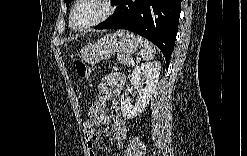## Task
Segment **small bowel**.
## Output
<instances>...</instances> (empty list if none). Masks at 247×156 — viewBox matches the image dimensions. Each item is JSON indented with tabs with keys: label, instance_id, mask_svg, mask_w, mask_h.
I'll return each mask as SVG.
<instances>
[{
	"label": "small bowel",
	"instance_id": "1",
	"mask_svg": "<svg viewBox=\"0 0 247 156\" xmlns=\"http://www.w3.org/2000/svg\"><path fill=\"white\" fill-rule=\"evenodd\" d=\"M122 90V81L119 74H110L104 77L99 85V91L103 97L97 98H106L113 102L110 113H106V103L100 109L101 117L96 118L95 121H92L91 118L87 116L83 124V132L86 139V146L89 155L93 156L94 145L99 142V137L95 134L94 128L99 125H106L110 121L114 122V125L111 130L112 137L116 145L120 148L123 146L124 141L128 135V127L125 121L122 118V114L118 108V96ZM93 107V105L91 106ZM91 110V108H90ZM89 110V111H90ZM89 114V112H88Z\"/></svg>",
	"mask_w": 247,
	"mask_h": 156
}]
</instances>
